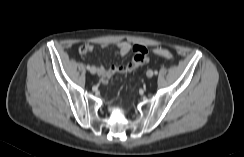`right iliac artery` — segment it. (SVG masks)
Returning a JSON list of instances; mask_svg holds the SVG:
<instances>
[{
  "mask_svg": "<svg viewBox=\"0 0 244 157\" xmlns=\"http://www.w3.org/2000/svg\"><path fill=\"white\" fill-rule=\"evenodd\" d=\"M87 69L90 70L91 69V66L90 65H87Z\"/></svg>",
  "mask_w": 244,
  "mask_h": 157,
  "instance_id": "82829eb1",
  "label": "right iliac artery"
}]
</instances>
